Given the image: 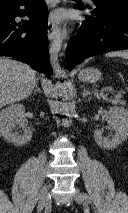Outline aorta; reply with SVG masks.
<instances>
[{
    "label": "aorta",
    "instance_id": "762f6f07",
    "mask_svg": "<svg viewBox=\"0 0 128 213\" xmlns=\"http://www.w3.org/2000/svg\"><path fill=\"white\" fill-rule=\"evenodd\" d=\"M65 36V31L59 32L55 35L49 48V61L52 66L56 78L65 76V71L61 69L58 54L62 47V42ZM60 114L67 118L62 120L64 127H69L72 124L70 117L75 114V103L73 101L74 91L70 83L65 82L59 86Z\"/></svg>",
    "mask_w": 128,
    "mask_h": 213
}]
</instances>
